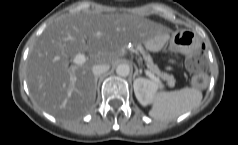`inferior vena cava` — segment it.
<instances>
[{
  "label": "inferior vena cava",
  "instance_id": "inferior-vena-cava-1",
  "mask_svg": "<svg viewBox=\"0 0 238 145\" xmlns=\"http://www.w3.org/2000/svg\"><path fill=\"white\" fill-rule=\"evenodd\" d=\"M110 69L108 64H97L92 68V72L95 77H99L101 74L107 72Z\"/></svg>",
  "mask_w": 238,
  "mask_h": 145
}]
</instances>
